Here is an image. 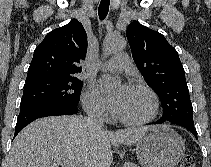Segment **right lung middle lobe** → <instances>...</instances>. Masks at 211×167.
I'll return each mask as SVG.
<instances>
[{
	"label": "right lung middle lobe",
	"mask_w": 211,
	"mask_h": 167,
	"mask_svg": "<svg viewBox=\"0 0 211 167\" xmlns=\"http://www.w3.org/2000/svg\"><path fill=\"white\" fill-rule=\"evenodd\" d=\"M82 86L83 82L75 76L26 80L20 110L47 104L77 106Z\"/></svg>",
	"instance_id": "1"
}]
</instances>
